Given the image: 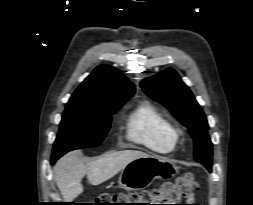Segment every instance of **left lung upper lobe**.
Here are the masks:
<instances>
[{
  "label": "left lung upper lobe",
  "instance_id": "obj_1",
  "mask_svg": "<svg viewBox=\"0 0 253 205\" xmlns=\"http://www.w3.org/2000/svg\"><path fill=\"white\" fill-rule=\"evenodd\" d=\"M143 91L166 106L171 113L188 128L194 139V157L211 171L212 143L208 136L207 119L188 87L177 72H164L141 82Z\"/></svg>",
  "mask_w": 253,
  "mask_h": 205
}]
</instances>
